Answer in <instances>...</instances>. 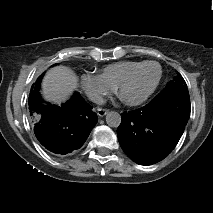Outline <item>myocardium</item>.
Instances as JSON below:
<instances>
[{"mask_svg":"<svg viewBox=\"0 0 213 213\" xmlns=\"http://www.w3.org/2000/svg\"><path fill=\"white\" fill-rule=\"evenodd\" d=\"M146 65H155L158 69V76H157V79L153 85V87L151 88V90L145 95L143 96L142 98H139L137 100H124L123 97L121 96V92H122V89L123 87L132 79V77L134 76V74L140 69L142 68L143 66H146ZM162 74H163V71H162V67L160 66L159 63L155 62V61H143V62H140L138 65H136L134 68H132L122 79L121 81L119 82L118 86L116 87L117 89V93L120 97V99L122 101H124L127 105L129 106H138V105H141L143 104L145 101H147L151 96L152 94L156 91V89L158 88L160 82H161V79H162Z\"/></svg>","mask_w":213,"mask_h":213,"instance_id":"f54148a6","label":"myocardium"}]
</instances>
